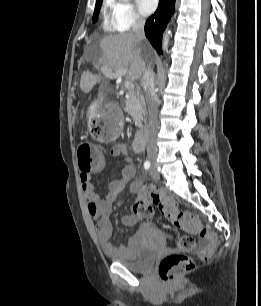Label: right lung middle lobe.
I'll return each instance as SVG.
<instances>
[{"instance_id": "right-lung-middle-lobe-1", "label": "right lung middle lobe", "mask_w": 261, "mask_h": 306, "mask_svg": "<svg viewBox=\"0 0 261 306\" xmlns=\"http://www.w3.org/2000/svg\"><path fill=\"white\" fill-rule=\"evenodd\" d=\"M101 3H102V0L96 1V6H95L94 14H93V22H95L98 18Z\"/></svg>"}]
</instances>
